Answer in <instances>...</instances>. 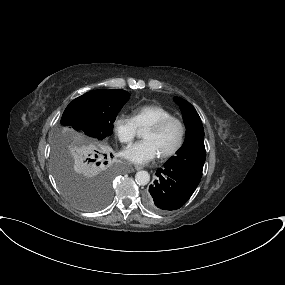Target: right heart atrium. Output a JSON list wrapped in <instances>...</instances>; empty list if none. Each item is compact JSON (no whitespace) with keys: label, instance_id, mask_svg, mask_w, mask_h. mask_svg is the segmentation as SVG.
<instances>
[{"label":"right heart atrium","instance_id":"obj_1","mask_svg":"<svg viewBox=\"0 0 285 285\" xmlns=\"http://www.w3.org/2000/svg\"><path fill=\"white\" fill-rule=\"evenodd\" d=\"M113 129L122 143L130 144L138 133V127L133 117L128 115H119L113 122Z\"/></svg>","mask_w":285,"mask_h":285}]
</instances>
